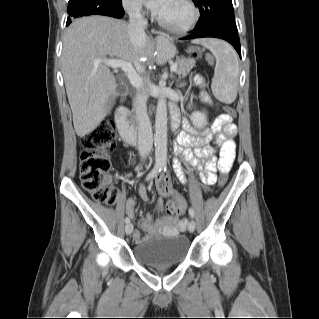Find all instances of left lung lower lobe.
Returning <instances> with one entry per match:
<instances>
[{"label":"left lung lower lobe","instance_id":"obj_1","mask_svg":"<svg viewBox=\"0 0 319 319\" xmlns=\"http://www.w3.org/2000/svg\"><path fill=\"white\" fill-rule=\"evenodd\" d=\"M202 37H214L226 40L229 42L238 52L241 57L240 39L237 30H232L225 27H207L204 29H196L194 33L181 38V40L202 38Z\"/></svg>","mask_w":319,"mask_h":319}]
</instances>
